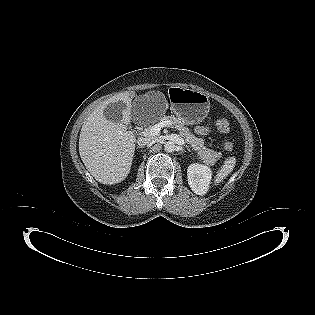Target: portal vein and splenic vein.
<instances>
[{"label":"portal vein and splenic vein","instance_id":"1","mask_svg":"<svg viewBox=\"0 0 315 315\" xmlns=\"http://www.w3.org/2000/svg\"><path fill=\"white\" fill-rule=\"evenodd\" d=\"M172 126L170 121H161L158 124H155L150 129L142 132L141 135L143 136H157L160 133L161 128L163 127H170Z\"/></svg>","mask_w":315,"mask_h":315}]
</instances>
